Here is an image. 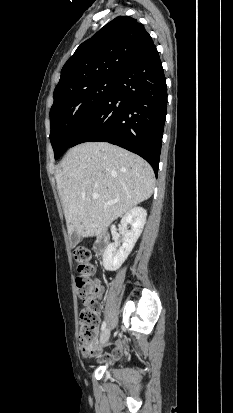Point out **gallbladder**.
I'll use <instances>...</instances> for the list:
<instances>
[{
  "mask_svg": "<svg viewBox=\"0 0 233 413\" xmlns=\"http://www.w3.org/2000/svg\"><path fill=\"white\" fill-rule=\"evenodd\" d=\"M80 237L78 233L75 231L72 233L70 236V245L72 248H74L78 243H79Z\"/></svg>",
  "mask_w": 233,
  "mask_h": 413,
  "instance_id": "1",
  "label": "gallbladder"
}]
</instances>
